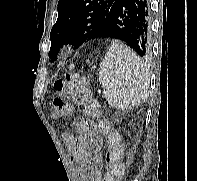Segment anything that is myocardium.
Returning <instances> with one entry per match:
<instances>
[{"label":"myocardium","instance_id":"obj_1","mask_svg":"<svg viewBox=\"0 0 197 181\" xmlns=\"http://www.w3.org/2000/svg\"><path fill=\"white\" fill-rule=\"evenodd\" d=\"M71 50V44L66 43L64 45H62V47L60 48V53L61 54H66Z\"/></svg>","mask_w":197,"mask_h":181}]
</instances>
